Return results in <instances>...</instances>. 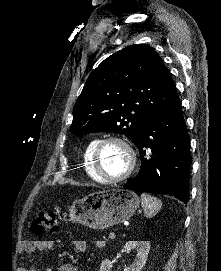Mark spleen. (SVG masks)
<instances>
[{"mask_svg":"<svg viewBox=\"0 0 221 271\" xmlns=\"http://www.w3.org/2000/svg\"><path fill=\"white\" fill-rule=\"evenodd\" d=\"M141 199L146 217H153V215H156L159 209H161L162 201L158 199V197H153V195H149V193H142Z\"/></svg>","mask_w":221,"mask_h":271,"instance_id":"1","label":"spleen"}]
</instances>
